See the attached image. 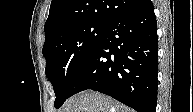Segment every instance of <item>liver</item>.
Returning <instances> with one entry per match:
<instances>
[{
  "label": "liver",
  "mask_w": 193,
  "mask_h": 112,
  "mask_svg": "<svg viewBox=\"0 0 193 112\" xmlns=\"http://www.w3.org/2000/svg\"><path fill=\"white\" fill-rule=\"evenodd\" d=\"M60 112H133V110L108 96L89 90L68 99Z\"/></svg>",
  "instance_id": "liver-1"
}]
</instances>
